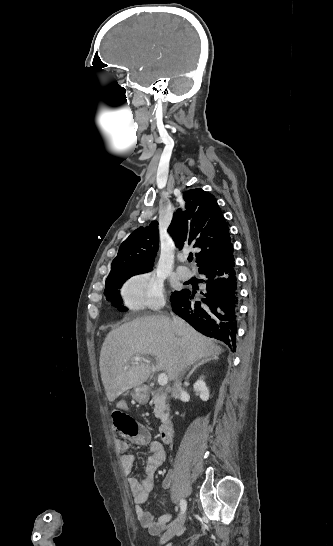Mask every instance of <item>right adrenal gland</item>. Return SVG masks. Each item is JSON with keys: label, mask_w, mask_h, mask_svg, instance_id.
I'll return each mask as SVG.
<instances>
[{"label": "right adrenal gland", "mask_w": 333, "mask_h": 546, "mask_svg": "<svg viewBox=\"0 0 333 546\" xmlns=\"http://www.w3.org/2000/svg\"><path fill=\"white\" fill-rule=\"evenodd\" d=\"M213 358H208V359H203L201 360L200 362H198L193 368L192 370L189 372V374L187 375L186 377V381H188V379L190 378V376L193 374V372L199 367L201 366L202 364H205L207 362H209L210 360H212ZM216 360V358H214Z\"/></svg>", "instance_id": "right-adrenal-gland-1"}]
</instances>
